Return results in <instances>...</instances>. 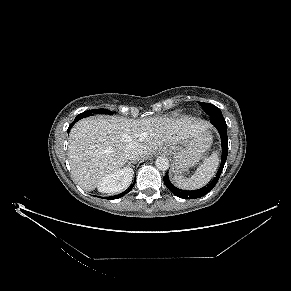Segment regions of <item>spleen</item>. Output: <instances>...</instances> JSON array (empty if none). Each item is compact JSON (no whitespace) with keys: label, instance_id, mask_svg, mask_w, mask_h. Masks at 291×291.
<instances>
[{"label":"spleen","instance_id":"3e777b00","mask_svg":"<svg viewBox=\"0 0 291 291\" xmlns=\"http://www.w3.org/2000/svg\"><path fill=\"white\" fill-rule=\"evenodd\" d=\"M219 165V156L217 153H212L204 162L197 168L195 173L189 177H174L176 186L183 190H196L207 185L214 177Z\"/></svg>","mask_w":291,"mask_h":291}]
</instances>
